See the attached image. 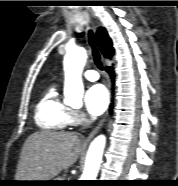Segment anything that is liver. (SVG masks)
<instances>
[{
  "label": "liver",
  "mask_w": 178,
  "mask_h": 186,
  "mask_svg": "<svg viewBox=\"0 0 178 186\" xmlns=\"http://www.w3.org/2000/svg\"><path fill=\"white\" fill-rule=\"evenodd\" d=\"M81 152V138L74 132L39 131L22 148L17 181H48L73 165Z\"/></svg>",
  "instance_id": "6515ba94"
}]
</instances>
